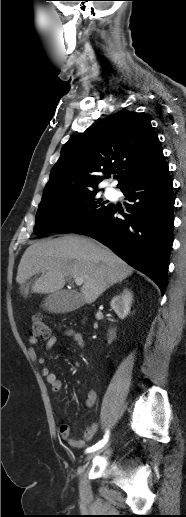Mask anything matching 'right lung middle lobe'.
<instances>
[{
  "label": "right lung middle lobe",
  "mask_w": 186,
  "mask_h": 517,
  "mask_svg": "<svg viewBox=\"0 0 186 517\" xmlns=\"http://www.w3.org/2000/svg\"><path fill=\"white\" fill-rule=\"evenodd\" d=\"M97 192L98 190L75 192L41 202L36 214L34 233L43 237L53 232H73L88 225L111 208L97 198Z\"/></svg>",
  "instance_id": "1"
}]
</instances>
